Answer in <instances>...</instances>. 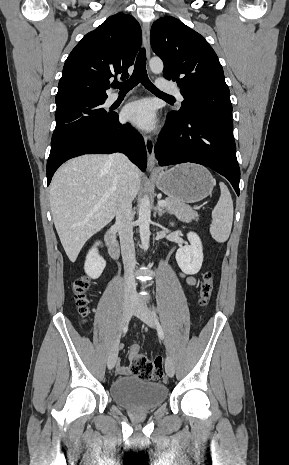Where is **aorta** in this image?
Listing matches in <instances>:
<instances>
[{"instance_id": "obj_1", "label": "aorta", "mask_w": 289, "mask_h": 465, "mask_svg": "<svg viewBox=\"0 0 289 465\" xmlns=\"http://www.w3.org/2000/svg\"><path fill=\"white\" fill-rule=\"evenodd\" d=\"M149 66L151 71L154 74H160L163 72V62L158 57H153L149 61ZM150 217H151V204L150 199L147 195H144L141 199L140 206H139V231H140V239L141 244L144 250L148 249L149 246V239H150Z\"/></svg>"}]
</instances>
